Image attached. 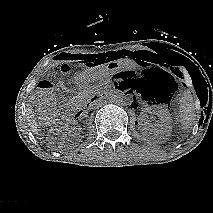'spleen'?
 I'll use <instances>...</instances> for the list:
<instances>
[{
  "mask_svg": "<svg viewBox=\"0 0 213 213\" xmlns=\"http://www.w3.org/2000/svg\"><path fill=\"white\" fill-rule=\"evenodd\" d=\"M195 120V107L190 92H185L180 101V123L183 130H188Z\"/></svg>",
  "mask_w": 213,
  "mask_h": 213,
  "instance_id": "spleen-1",
  "label": "spleen"
}]
</instances>
